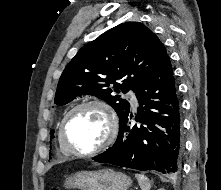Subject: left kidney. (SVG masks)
<instances>
[{"label":"left kidney","mask_w":221,"mask_h":190,"mask_svg":"<svg viewBox=\"0 0 221 190\" xmlns=\"http://www.w3.org/2000/svg\"><path fill=\"white\" fill-rule=\"evenodd\" d=\"M158 190H165V189L161 188V189H158Z\"/></svg>","instance_id":"obj_1"}]
</instances>
